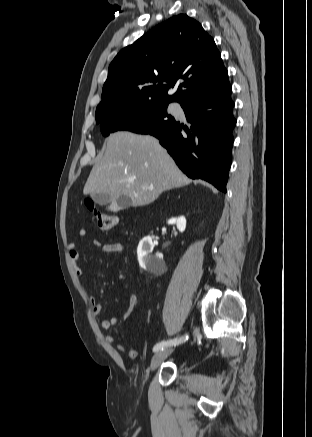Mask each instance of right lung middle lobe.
Masks as SVG:
<instances>
[{
  "mask_svg": "<svg viewBox=\"0 0 312 437\" xmlns=\"http://www.w3.org/2000/svg\"><path fill=\"white\" fill-rule=\"evenodd\" d=\"M167 102L135 104L117 109L96 120L102 134L108 136L115 131H130L151 134L161 131L176 122L167 114Z\"/></svg>",
  "mask_w": 312,
  "mask_h": 437,
  "instance_id": "obj_1",
  "label": "right lung middle lobe"
}]
</instances>
